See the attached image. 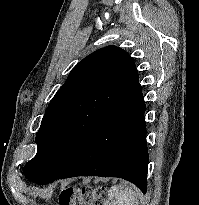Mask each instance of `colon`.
Wrapping results in <instances>:
<instances>
[{
    "label": "colon",
    "instance_id": "5ec220e1",
    "mask_svg": "<svg viewBox=\"0 0 199 205\" xmlns=\"http://www.w3.org/2000/svg\"><path fill=\"white\" fill-rule=\"evenodd\" d=\"M58 201L59 205H105L106 195L103 188L68 186L61 191Z\"/></svg>",
    "mask_w": 199,
    "mask_h": 205
}]
</instances>
